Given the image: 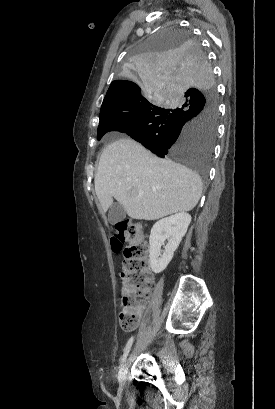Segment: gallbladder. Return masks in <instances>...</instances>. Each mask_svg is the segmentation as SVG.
Here are the masks:
<instances>
[{
  "mask_svg": "<svg viewBox=\"0 0 275 409\" xmlns=\"http://www.w3.org/2000/svg\"><path fill=\"white\" fill-rule=\"evenodd\" d=\"M125 217L126 213L123 207L119 205V202H113V205L112 207H110L108 213V221L110 225H116V223H120V221H123Z\"/></svg>",
  "mask_w": 275,
  "mask_h": 409,
  "instance_id": "1",
  "label": "gallbladder"
}]
</instances>
